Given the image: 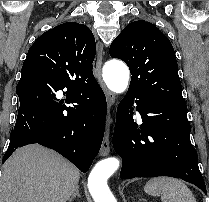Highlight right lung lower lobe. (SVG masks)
<instances>
[{"instance_id":"98d812e1","label":"right lung lower lobe","mask_w":209,"mask_h":202,"mask_svg":"<svg viewBox=\"0 0 209 202\" xmlns=\"http://www.w3.org/2000/svg\"><path fill=\"white\" fill-rule=\"evenodd\" d=\"M64 88L65 102L72 107L56 98L55 92ZM16 93L20 106L2 162L16 148L38 143L87 172L100 150L105 128L106 98L98 83L80 90L45 72L22 74Z\"/></svg>"}]
</instances>
